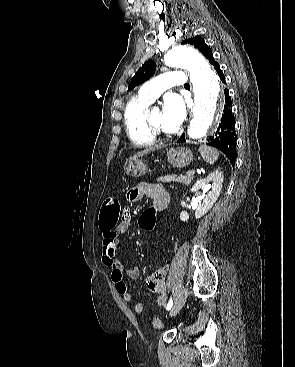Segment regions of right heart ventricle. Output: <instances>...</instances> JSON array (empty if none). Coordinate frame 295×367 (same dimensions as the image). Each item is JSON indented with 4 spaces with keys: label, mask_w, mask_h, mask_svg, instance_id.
Listing matches in <instances>:
<instances>
[{
    "label": "right heart ventricle",
    "mask_w": 295,
    "mask_h": 367,
    "mask_svg": "<svg viewBox=\"0 0 295 367\" xmlns=\"http://www.w3.org/2000/svg\"><path fill=\"white\" fill-rule=\"evenodd\" d=\"M150 101L134 97L127 103L124 110V125L129 139L139 147L151 146L155 137L146 125L147 108Z\"/></svg>",
    "instance_id": "right-heart-ventricle-1"
}]
</instances>
